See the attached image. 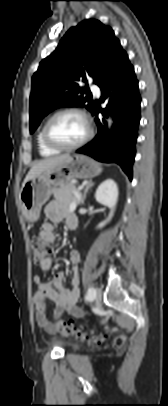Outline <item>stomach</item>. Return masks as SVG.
Instances as JSON below:
<instances>
[{
    "mask_svg": "<svg viewBox=\"0 0 168 406\" xmlns=\"http://www.w3.org/2000/svg\"><path fill=\"white\" fill-rule=\"evenodd\" d=\"M101 166L84 155H74L49 173L27 181L20 190V206L25 219L38 220L41 207L53 193L52 186L64 187L72 179H88L98 176Z\"/></svg>",
    "mask_w": 168,
    "mask_h": 406,
    "instance_id": "1",
    "label": "stomach"
}]
</instances>
